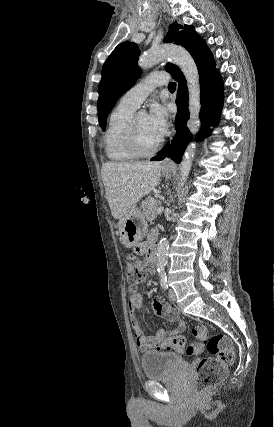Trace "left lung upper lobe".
Instances as JSON below:
<instances>
[{
    "label": "left lung upper lobe",
    "mask_w": 274,
    "mask_h": 427,
    "mask_svg": "<svg viewBox=\"0 0 274 427\" xmlns=\"http://www.w3.org/2000/svg\"><path fill=\"white\" fill-rule=\"evenodd\" d=\"M203 39L191 25H170L165 42L184 46L189 52ZM140 51L135 43L119 44L107 58L102 68V79L99 84L98 118L99 125L105 130L106 119L119 97L130 89L140 76L137 61ZM166 71L175 75L179 68L168 63Z\"/></svg>",
    "instance_id": "5c2ea615"
}]
</instances>
